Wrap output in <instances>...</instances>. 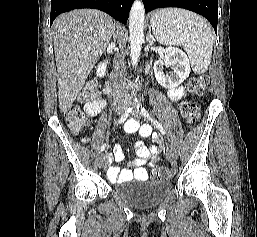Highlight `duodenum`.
<instances>
[{
  "mask_svg": "<svg viewBox=\"0 0 257 237\" xmlns=\"http://www.w3.org/2000/svg\"><path fill=\"white\" fill-rule=\"evenodd\" d=\"M104 76L106 79H108L109 73L107 70L104 72ZM106 91L109 92V81L106 82Z\"/></svg>",
  "mask_w": 257,
  "mask_h": 237,
  "instance_id": "obj_1",
  "label": "duodenum"
}]
</instances>
